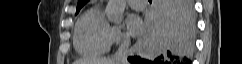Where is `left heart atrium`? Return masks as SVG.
I'll return each instance as SVG.
<instances>
[{
  "mask_svg": "<svg viewBox=\"0 0 242 64\" xmlns=\"http://www.w3.org/2000/svg\"><path fill=\"white\" fill-rule=\"evenodd\" d=\"M127 25L129 33L133 36L143 32L144 27L142 20L137 15H129L127 18Z\"/></svg>",
  "mask_w": 242,
  "mask_h": 64,
  "instance_id": "obj_1",
  "label": "left heart atrium"
}]
</instances>
